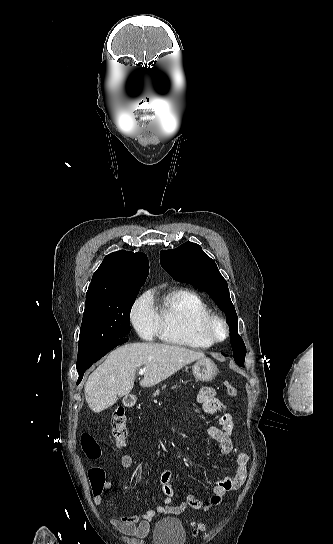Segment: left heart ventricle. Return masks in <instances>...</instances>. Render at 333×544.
<instances>
[{"label": "left heart ventricle", "mask_w": 333, "mask_h": 544, "mask_svg": "<svg viewBox=\"0 0 333 544\" xmlns=\"http://www.w3.org/2000/svg\"><path fill=\"white\" fill-rule=\"evenodd\" d=\"M216 331H217V334H218V335H222V333H223L222 330H221L220 328H217Z\"/></svg>", "instance_id": "b2bd125f"}]
</instances>
